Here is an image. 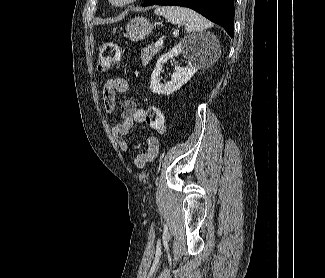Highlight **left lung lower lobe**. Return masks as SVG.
Listing matches in <instances>:
<instances>
[{
  "instance_id": "left-lung-lower-lobe-1",
  "label": "left lung lower lobe",
  "mask_w": 325,
  "mask_h": 278,
  "mask_svg": "<svg viewBox=\"0 0 325 278\" xmlns=\"http://www.w3.org/2000/svg\"><path fill=\"white\" fill-rule=\"evenodd\" d=\"M176 5L191 8L222 26L230 37L234 33V0H147L142 6Z\"/></svg>"
}]
</instances>
